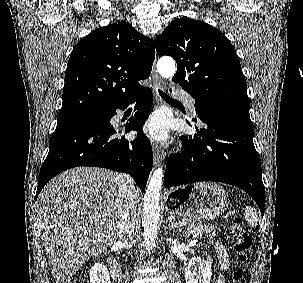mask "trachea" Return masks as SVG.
Returning a JSON list of instances; mask_svg holds the SVG:
<instances>
[{
    "label": "trachea",
    "instance_id": "3493384b",
    "mask_svg": "<svg viewBox=\"0 0 303 283\" xmlns=\"http://www.w3.org/2000/svg\"><path fill=\"white\" fill-rule=\"evenodd\" d=\"M159 91V95L167 100V101H171V102H177L176 100L172 99L171 97H169L167 94H165L164 92H162L161 90H158Z\"/></svg>",
    "mask_w": 303,
    "mask_h": 283
}]
</instances>
